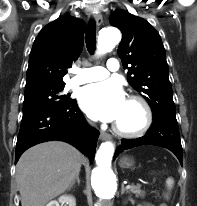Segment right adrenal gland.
I'll use <instances>...</instances> for the list:
<instances>
[{"label":"right adrenal gland","instance_id":"right-adrenal-gland-1","mask_svg":"<svg viewBox=\"0 0 197 206\" xmlns=\"http://www.w3.org/2000/svg\"><path fill=\"white\" fill-rule=\"evenodd\" d=\"M76 182L78 183V185H80L79 173L76 174L75 179L72 181L70 188H72L76 184Z\"/></svg>","mask_w":197,"mask_h":206}]
</instances>
